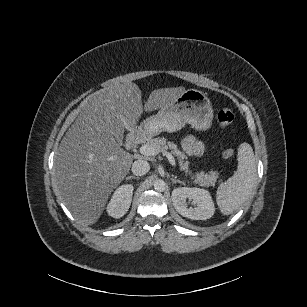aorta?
Instances as JSON below:
<instances>
[{
    "label": "aorta",
    "instance_id": "1",
    "mask_svg": "<svg viewBox=\"0 0 307 307\" xmlns=\"http://www.w3.org/2000/svg\"><path fill=\"white\" fill-rule=\"evenodd\" d=\"M154 189L159 192H163L166 189V183L162 179H158L154 182Z\"/></svg>",
    "mask_w": 307,
    "mask_h": 307
}]
</instances>
